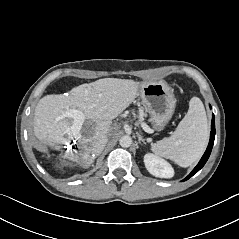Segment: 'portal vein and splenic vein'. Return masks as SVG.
Listing matches in <instances>:
<instances>
[{
  "label": "portal vein and splenic vein",
  "mask_w": 239,
  "mask_h": 239,
  "mask_svg": "<svg viewBox=\"0 0 239 239\" xmlns=\"http://www.w3.org/2000/svg\"><path fill=\"white\" fill-rule=\"evenodd\" d=\"M64 117H69L74 120L73 125L67 129V132L69 134L78 133L77 131H79L84 121V114L78 109H69L63 114V116L58 117L57 120H60ZM141 126L146 132L150 133V128L145 123H141Z\"/></svg>",
  "instance_id": "portal-vein-and-splenic-vein-1"
}]
</instances>
